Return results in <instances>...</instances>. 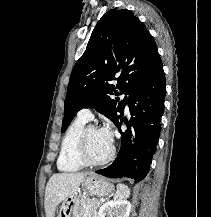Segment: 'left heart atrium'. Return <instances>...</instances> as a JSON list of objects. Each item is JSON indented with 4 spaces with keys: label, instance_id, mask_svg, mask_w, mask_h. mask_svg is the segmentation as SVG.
Masks as SVG:
<instances>
[{
    "label": "left heart atrium",
    "instance_id": "obj_1",
    "mask_svg": "<svg viewBox=\"0 0 211 217\" xmlns=\"http://www.w3.org/2000/svg\"><path fill=\"white\" fill-rule=\"evenodd\" d=\"M99 131L106 138V140L110 144H112V142H113V136H112V130H111V128L109 126H106L104 128H101Z\"/></svg>",
    "mask_w": 211,
    "mask_h": 217
}]
</instances>
